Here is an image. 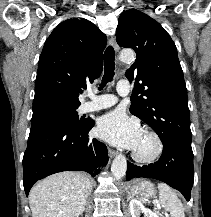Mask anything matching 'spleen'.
<instances>
[{"label":"spleen","instance_id":"1","mask_svg":"<svg viewBox=\"0 0 211 217\" xmlns=\"http://www.w3.org/2000/svg\"><path fill=\"white\" fill-rule=\"evenodd\" d=\"M161 206L170 212L171 217H185L184 207L176 193L164 183H158Z\"/></svg>","mask_w":211,"mask_h":217}]
</instances>
